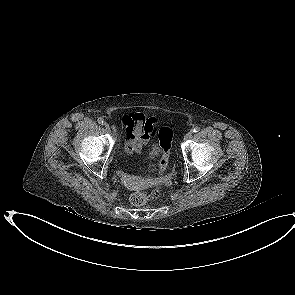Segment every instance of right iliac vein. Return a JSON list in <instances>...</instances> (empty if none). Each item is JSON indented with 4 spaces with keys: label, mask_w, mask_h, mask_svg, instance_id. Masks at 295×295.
<instances>
[{
    "label": "right iliac vein",
    "mask_w": 295,
    "mask_h": 295,
    "mask_svg": "<svg viewBox=\"0 0 295 295\" xmlns=\"http://www.w3.org/2000/svg\"><path fill=\"white\" fill-rule=\"evenodd\" d=\"M104 126H105V128H106L108 131L110 130V126H109L108 123H105Z\"/></svg>",
    "instance_id": "63e3f726"
}]
</instances>
